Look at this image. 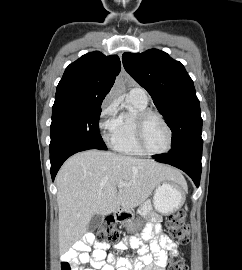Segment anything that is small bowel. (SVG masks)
Segmentation results:
<instances>
[{
  "mask_svg": "<svg viewBox=\"0 0 242 270\" xmlns=\"http://www.w3.org/2000/svg\"><path fill=\"white\" fill-rule=\"evenodd\" d=\"M142 239L149 245H144ZM91 247L93 251L89 255ZM127 247L137 250L136 259L107 255L106 245L95 241L87 234L73 249L63 255L61 265L67 263L71 266V270H165L167 251L173 256L178 255L176 243L161 233L158 218H153L151 222L145 224L141 237L131 236L115 246L116 250H124Z\"/></svg>",
  "mask_w": 242,
  "mask_h": 270,
  "instance_id": "small-bowel-1",
  "label": "small bowel"
}]
</instances>
